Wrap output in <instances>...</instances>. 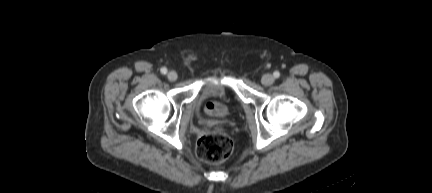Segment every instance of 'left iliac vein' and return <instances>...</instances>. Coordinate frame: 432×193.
<instances>
[{
	"instance_id": "1",
	"label": "left iliac vein",
	"mask_w": 432,
	"mask_h": 193,
	"mask_svg": "<svg viewBox=\"0 0 432 193\" xmlns=\"http://www.w3.org/2000/svg\"><path fill=\"white\" fill-rule=\"evenodd\" d=\"M261 82L265 86H269L274 83V77L271 74H264L261 78Z\"/></svg>"
}]
</instances>
